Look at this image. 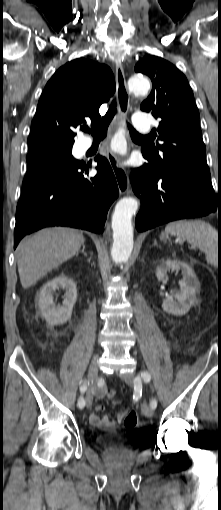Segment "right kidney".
Instances as JSON below:
<instances>
[{
  "label": "right kidney",
  "mask_w": 221,
  "mask_h": 510,
  "mask_svg": "<svg viewBox=\"0 0 221 510\" xmlns=\"http://www.w3.org/2000/svg\"><path fill=\"white\" fill-rule=\"evenodd\" d=\"M63 288L66 291L65 299L62 305H56L53 302V292L56 289ZM77 300V290L75 283L66 277L60 275L48 281L38 293L37 305L41 316L49 325H61L66 323L72 315L73 306Z\"/></svg>",
  "instance_id": "1"
}]
</instances>
